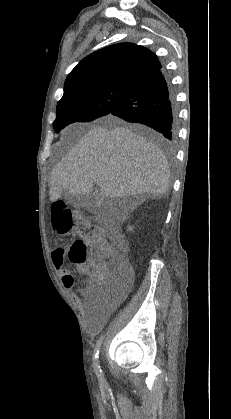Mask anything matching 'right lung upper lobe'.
<instances>
[{"instance_id":"1","label":"right lung upper lobe","mask_w":231,"mask_h":419,"mask_svg":"<svg viewBox=\"0 0 231 419\" xmlns=\"http://www.w3.org/2000/svg\"><path fill=\"white\" fill-rule=\"evenodd\" d=\"M157 56L149 49L132 43H120L100 49L79 62L66 78L65 98L70 93L91 87L134 84L160 68Z\"/></svg>"}]
</instances>
